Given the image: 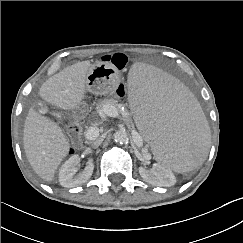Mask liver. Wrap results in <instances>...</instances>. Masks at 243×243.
Listing matches in <instances>:
<instances>
[{
    "mask_svg": "<svg viewBox=\"0 0 243 243\" xmlns=\"http://www.w3.org/2000/svg\"><path fill=\"white\" fill-rule=\"evenodd\" d=\"M90 61L78 62L47 79L39 96L48 103L64 109L79 108L85 97L86 75ZM23 144L26 157L35 173L45 181H52L70 143L62 129L33 108L24 124Z\"/></svg>",
    "mask_w": 243,
    "mask_h": 243,
    "instance_id": "liver-1",
    "label": "liver"
}]
</instances>
